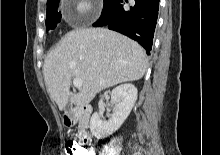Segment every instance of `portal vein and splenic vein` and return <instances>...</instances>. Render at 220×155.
Returning a JSON list of instances; mask_svg holds the SVG:
<instances>
[{
  "label": "portal vein and splenic vein",
  "mask_w": 220,
  "mask_h": 155,
  "mask_svg": "<svg viewBox=\"0 0 220 155\" xmlns=\"http://www.w3.org/2000/svg\"><path fill=\"white\" fill-rule=\"evenodd\" d=\"M73 84L75 87L81 89L82 88V80L80 78H74L73 79Z\"/></svg>",
  "instance_id": "18ae733b"
}]
</instances>
